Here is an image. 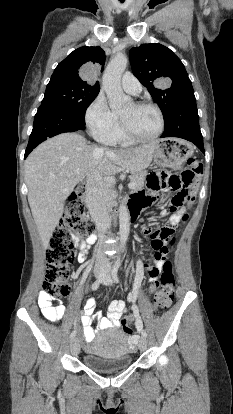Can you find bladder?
Here are the masks:
<instances>
[{"label":"bladder","instance_id":"bladder-1","mask_svg":"<svg viewBox=\"0 0 233 414\" xmlns=\"http://www.w3.org/2000/svg\"><path fill=\"white\" fill-rule=\"evenodd\" d=\"M132 362L128 337L117 328L99 333L92 350L83 357V363L87 368L103 373L126 369Z\"/></svg>","mask_w":233,"mask_h":414}]
</instances>
